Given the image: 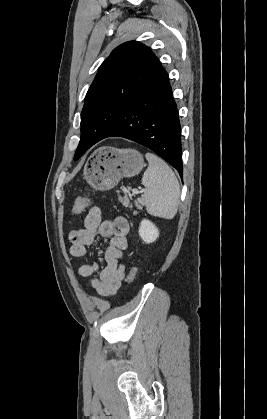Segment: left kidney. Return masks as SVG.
I'll use <instances>...</instances> for the list:
<instances>
[{"mask_svg":"<svg viewBox=\"0 0 267 419\" xmlns=\"http://www.w3.org/2000/svg\"><path fill=\"white\" fill-rule=\"evenodd\" d=\"M139 235L145 243H152L159 237V231L150 220L143 219L139 227Z\"/></svg>","mask_w":267,"mask_h":419,"instance_id":"obj_1","label":"left kidney"}]
</instances>
